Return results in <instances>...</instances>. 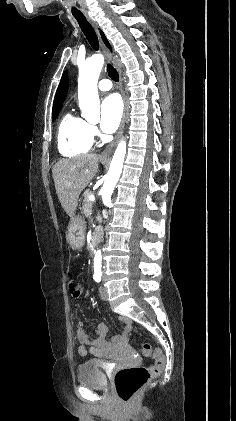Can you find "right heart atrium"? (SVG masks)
Listing matches in <instances>:
<instances>
[{
  "mask_svg": "<svg viewBox=\"0 0 236 421\" xmlns=\"http://www.w3.org/2000/svg\"><path fill=\"white\" fill-rule=\"evenodd\" d=\"M90 128H91V132H92V134H93V135H96V134H97V129H96V127H95L94 125H90Z\"/></svg>",
  "mask_w": 236,
  "mask_h": 421,
  "instance_id": "d8ad5b80",
  "label": "right heart atrium"
}]
</instances>
